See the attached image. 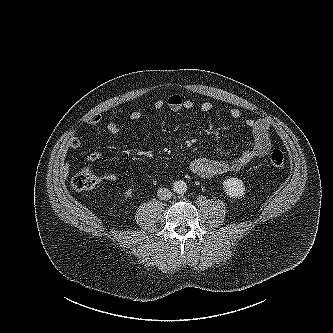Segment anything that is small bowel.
Wrapping results in <instances>:
<instances>
[{
  "label": "small bowel",
  "instance_id": "obj_1",
  "mask_svg": "<svg viewBox=\"0 0 333 333\" xmlns=\"http://www.w3.org/2000/svg\"><path fill=\"white\" fill-rule=\"evenodd\" d=\"M154 106L158 110L168 108L172 112L198 109L202 113H209L213 110V104L211 102H203L197 105L193 100L186 99L178 94L171 95L167 99H159L155 101ZM116 113L120 112L117 111ZM228 115L234 120L242 119V113L237 108H230ZM143 116V112L139 110L132 111L129 115L130 119L134 121L142 119ZM101 121V115L96 114L89 118L88 123L95 126ZM244 124L253 136V144L250 148L230 159L195 158L189 164L191 172L202 178H210L225 173L237 172L243 169L252 160L265 157L271 150L270 124L265 119L255 118H246ZM107 129L109 132L117 134L121 131L122 127L119 121L113 120L107 124ZM67 146L71 149H78L81 146V140L73 136L69 139ZM89 159L92 162H96L99 159V154L94 152L90 155ZM104 179L114 181L116 180V175L114 173H107Z\"/></svg>",
  "mask_w": 333,
  "mask_h": 333
}]
</instances>
